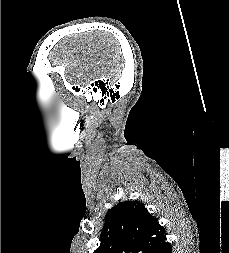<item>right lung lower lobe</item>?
<instances>
[{
  "label": "right lung lower lobe",
  "instance_id": "1",
  "mask_svg": "<svg viewBox=\"0 0 229 253\" xmlns=\"http://www.w3.org/2000/svg\"><path fill=\"white\" fill-rule=\"evenodd\" d=\"M154 253H172V246L166 240L154 251Z\"/></svg>",
  "mask_w": 229,
  "mask_h": 253
}]
</instances>
